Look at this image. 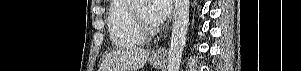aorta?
<instances>
[{
	"label": "aorta",
	"instance_id": "aorta-1",
	"mask_svg": "<svg viewBox=\"0 0 301 71\" xmlns=\"http://www.w3.org/2000/svg\"><path fill=\"white\" fill-rule=\"evenodd\" d=\"M138 1V0H137ZM146 2V0H140ZM189 0H175L168 52V71H179L189 23Z\"/></svg>",
	"mask_w": 301,
	"mask_h": 71
}]
</instances>
